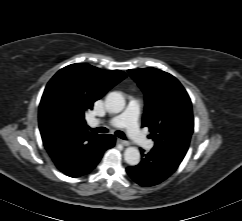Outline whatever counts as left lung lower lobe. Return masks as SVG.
Masks as SVG:
<instances>
[{
  "label": "left lung lower lobe",
  "mask_w": 242,
  "mask_h": 221,
  "mask_svg": "<svg viewBox=\"0 0 242 221\" xmlns=\"http://www.w3.org/2000/svg\"><path fill=\"white\" fill-rule=\"evenodd\" d=\"M141 155L142 161L137 166L128 167L126 171L136 183L144 187L157 185L167 179L182 161L157 147L147 154L141 150Z\"/></svg>",
  "instance_id": "obj_1"
}]
</instances>
